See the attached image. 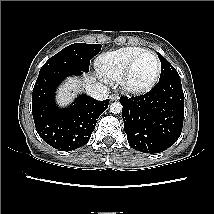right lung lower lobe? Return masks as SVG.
Instances as JSON below:
<instances>
[{
	"mask_svg": "<svg viewBox=\"0 0 214 214\" xmlns=\"http://www.w3.org/2000/svg\"><path fill=\"white\" fill-rule=\"evenodd\" d=\"M81 71L52 69L39 73L32 94V113L39 136L59 150L71 151L85 145L96 126L100 114L108 107L109 99L95 100L85 94L66 109L54 101L57 86Z\"/></svg>",
	"mask_w": 214,
	"mask_h": 214,
	"instance_id": "1",
	"label": "right lung lower lobe"
}]
</instances>
